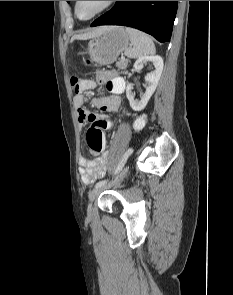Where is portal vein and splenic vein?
I'll return each mask as SVG.
<instances>
[{
    "instance_id": "portal-vein-and-splenic-vein-1",
    "label": "portal vein and splenic vein",
    "mask_w": 233,
    "mask_h": 295,
    "mask_svg": "<svg viewBox=\"0 0 233 295\" xmlns=\"http://www.w3.org/2000/svg\"><path fill=\"white\" fill-rule=\"evenodd\" d=\"M121 59L124 60L125 58L124 57H121Z\"/></svg>"
}]
</instances>
